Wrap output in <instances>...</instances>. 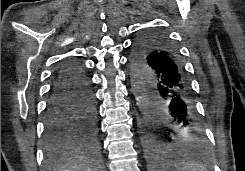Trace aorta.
Returning <instances> with one entry per match:
<instances>
[{"instance_id":"762f6f07","label":"aorta","mask_w":245,"mask_h":171,"mask_svg":"<svg viewBox=\"0 0 245 171\" xmlns=\"http://www.w3.org/2000/svg\"><path fill=\"white\" fill-rule=\"evenodd\" d=\"M135 71V67H130L131 86L139 108L141 110H146L148 107V94L146 89L143 88L139 79L137 78Z\"/></svg>"}]
</instances>
